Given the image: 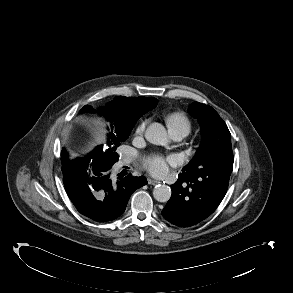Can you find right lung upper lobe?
Here are the masks:
<instances>
[{
	"label": "right lung upper lobe",
	"instance_id": "obj_1",
	"mask_svg": "<svg viewBox=\"0 0 293 293\" xmlns=\"http://www.w3.org/2000/svg\"><path fill=\"white\" fill-rule=\"evenodd\" d=\"M158 100L153 97H124L118 96L113 101L106 104L104 108H100V113L105 115L108 120L113 122L111 129L115 134L119 131L133 128L136 121L148 110L157 105ZM83 110H91L90 106H85ZM82 110V111H83ZM113 135V132L109 135ZM103 146H98L91 154H98V150ZM105 152V150H104ZM80 159L69 161L65 150L62 151V172H68Z\"/></svg>",
	"mask_w": 293,
	"mask_h": 293
}]
</instances>
